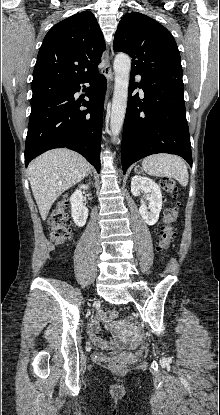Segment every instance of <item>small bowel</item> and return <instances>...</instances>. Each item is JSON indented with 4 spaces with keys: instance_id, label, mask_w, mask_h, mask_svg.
<instances>
[{
    "instance_id": "small-bowel-1",
    "label": "small bowel",
    "mask_w": 220,
    "mask_h": 415,
    "mask_svg": "<svg viewBox=\"0 0 220 415\" xmlns=\"http://www.w3.org/2000/svg\"><path fill=\"white\" fill-rule=\"evenodd\" d=\"M109 327V324L105 321V316L100 313L98 319H93L88 326V335L92 342L103 349H109L111 341L103 338L100 333L103 328Z\"/></svg>"
}]
</instances>
